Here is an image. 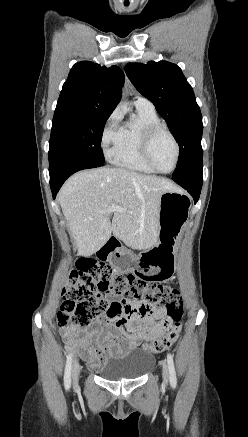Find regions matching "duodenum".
Returning <instances> with one entry per match:
<instances>
[{"instance_id":"410a0bca","label":"duodenum","mask_w":248,"mask_h":437,"mask_svg":"<svg viewBox=\"0 0 248 437\" xmlns=\"http://www.w3.org/2000/svg\"><path fill=\"white\" fill-rule=\"evenodd\" d=\"M120 247V241L117 237L111 236L102 246V248H97L95 250V255L97 257H109L112 252L116 251Z\"/></svg>"}]
</instances>
